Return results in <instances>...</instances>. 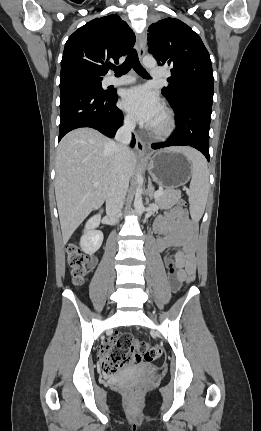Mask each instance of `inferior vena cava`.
I'll return each instance as SVG.
<instances>
[{"mask_svg":"<svg viewBox=\"0 0 261 431\" xmlns=\"http://www.w3.org/2000/svg\"><path fill=\"white\" fill-rule=\"evenodd\" d=\"M135 128V121L128 117L124 125L118 129L115 135L117 141L115 146V170L114 178L110 190L106 197V213L113 223H117L118 215L124 205V199L128 190L129 178L125 170V160L130 152L129 144L132 132Z\"/></svg>","mask_w":261,"mask_h":431,"instance_id":"602c4592","label":"inferior vena cava"}]
</instances>
